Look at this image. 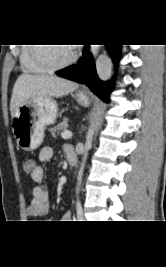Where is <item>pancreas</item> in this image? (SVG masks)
<instances>
[{"label":"pancreas","mask_w":166,"mask_h":267,"mask_svg":"<svg viewBox=\"0 0 166 267\" xmlns=\"http://www.w3.org/2000/svg\"><path fill=\"white\" fill-rule=\"evenodd\" d=\"M67 128V119H64L63 122H60L56 126L52 127L50 129V132L52 135H55L56 133H59L61 130H65Z\"/></svg>","instance_id":"pancreas-1"}]
</instances>
